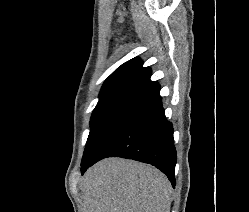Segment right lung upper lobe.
<instances>
[{"label": "right lung upper lobe", "instance_id": "cb5924a9", "mask_svg": "<svg viewBox=\"0 0 249 212\" xmlns=\"http://www.w3.org/2000/svg\"><path fill=\"white\" fill-rule=\"evenodd\" d=\"M143 61L133 58L118 67L104 82L100 97L111 94H132L137 97L160 88L151 81V69L143 67Z\"/></svg>", "mask_w": 249, "mask_h": 212}]
</instances>
